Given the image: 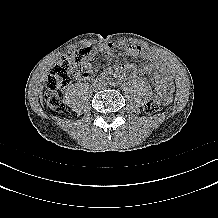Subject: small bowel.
<instances>
[{"label":"small bowel","instance_id":"c3829d8e","mask_svg":"<svg viewBox=\"0 0 218 218\" xmlns=\"http://www.w3.org/2000/svg\"><path fill=\"white\" fill-rule=\"evenodd\" d=\"M86 55L72 68V76L76 80H89L94 75L92 68V57L97 53H103L113 62L112 67L103 70L104 75H113L118 80H123L127 73L134 75L140 73L150 74L153 78L156 89L163 94L166 104L172 102L173 83L172 76L166 64L160 59L157 53L145 49L138 45L125 46V54L131 57H140L146 62L136 65L134 63L121 64L116 59L113 50V44L106 42L93 48H83Z\"/></svg>","mask_w":218,"mask_h":218}]
</instances>
